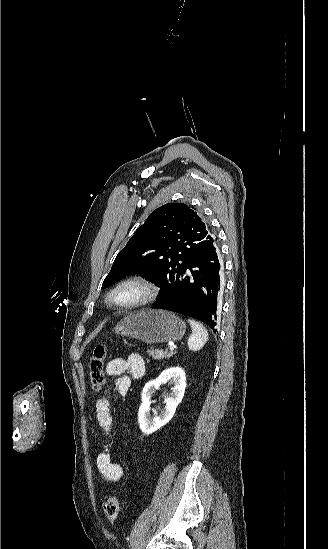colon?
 <instances>
[{
  "label": "colon",
  "mask_w": 328,
  "mask_h": 549,
  "mask_svg": "<svg viewBox=\"0 0 328 549\" xmlns=\"http://www.w3.org/2000/svg\"><path fill=\"white\" fill-rule=\"evenodd\" d=\"M107 358V347L104 344L97 345L89 363V375L92 388L97 391L102 388L105 382L104 363ZM106 519L115 523L119 515V500L117 496H110L103 505Z\"/></svg>",
  "instance_id": "1"
}]
</instances>
